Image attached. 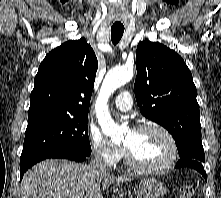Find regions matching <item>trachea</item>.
Listing matches in <instances>:
<instances>
[{"instance_id":"3493384b","label":"trachea","mask_w":221,"mask_h":198,"mask_svg":"<svg viewBox=\"0 0 221 198\" xmlns=\"http://www.w3.org/2000/svg\"><path fill=\"white\" fill-rule=\"evenodd\" d=\"M123 32H124V27H119V26L111 27V40L114 45H116L120 41Z\"/></svg>"}]
</instances>
